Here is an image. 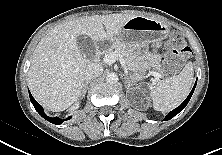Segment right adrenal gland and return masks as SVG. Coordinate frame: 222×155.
Instances as JSON below:
<instances>
[{
  "label": "right adrenal gland",
  "instance_id": "1",
  "mask_svg": "<svg viewBox=\"0 0 222 155\" xmlns=\"http://www.w3.org/2000/svg\"><path fill=\"white\" fill-rule=\"evenodd\" d=\"M90 83V80L85 81L83 89H82V98L85 97V94L87 92L88 84Z\"/></svg>",
  "mask_w": 222,
  "mask_h": 155
}]
</instances>
